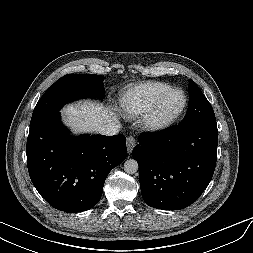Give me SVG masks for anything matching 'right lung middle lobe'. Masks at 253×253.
<instances>
[{
    "instance_id": "right-lung-middle-lobe-1",
    "label": "right lung middle lobe",
    "mask_w": 253,
    "mask_h": 253,
    "mask_svg": "<svg viewBox=\"0 0 253 253\" xmlns=\"http://www.w3.org/2000/svg\"><path fill=\"white\" fill-rule=\"evenodd\" d=\"M104 77L94 74L65 75L51 85L36 104L31 122L35 123L45 116L57 112L71 101L81 98L104 97Z\"/></svg>"
}]
</instances>
